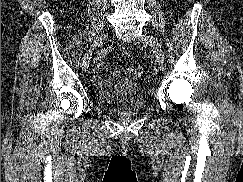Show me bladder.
I'll return each mask as SVG.
<instances>
[{
	"label": "bladder",
	"instance_id": "bladder-1",
	"mask_svg": "<svg viewBox=\"0 0 243 182\" xmlns=\"http://www.w3.org/2000/svg\"><path fill=\"white\" fill-rule=\"evenodd\" d=\"M94 98L99 107L119 115H135L145 108L144 98L134 91L120 94L113 91L99 90L95 93Z\"/></svg>",
	"mask_w": 243,
	"mask_h": 182
}]
</instances>
